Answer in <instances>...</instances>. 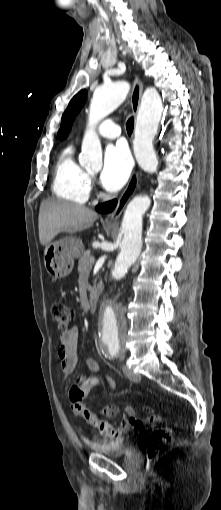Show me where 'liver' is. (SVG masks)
<instances>
[{"label": "liver", "instance_id": "6515ba94", "mask_svg": "<svg viewBox=\"0 0 221 510\" xmlns=\"http://www.w3.org/2000/svg\"><path fill=\"white\" fill-rule=\"evenodd\" d=\"M98 214L85 206L58 199L40 205L38 227L41 245L49 244L59 233H76L91 227Z\"/></svg>", "mask_w": 221, "mask_h": 510}]
</instances>
